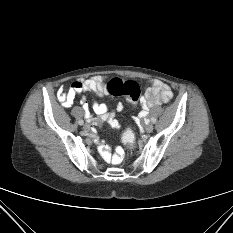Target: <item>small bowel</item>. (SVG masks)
Segmentation results:
<instances>
[{
    "label": "small bowel",
    "instance_id": "small-bowel-1",
    "mask_svg": "<svg viewBox=\"0 0 233 233\" xmlns=\"http://www.w3.org/2000/svg\"><path fill=\"white\" fill-rule=\"evenodd\" d=\"M92 91L101 96H108L110 93L107 88V83L102 76H94L88 79L74 80L68 88L61 86L57 91V97L61 104L68 108L74 102L75 97L81 92ZM173 96L171 87L158 79L151 80L150 87L147 89L144 96L140 99L141 110L138 113V118L143 119L147 116L150 107L154 105H162L170 102ZM81 106L85 117L93 122H106L112 128H118L119 122L116 118V112L123 109V104L118 103L115 110H110L104 103H92L93 113L89 110V104L85 98H82ZM124 156V151L121 147L104 148V157L112 162L119 163Z\"/></svg>",
    "mask_w": 233,
    "mask_h": 233
}]
</instances>
